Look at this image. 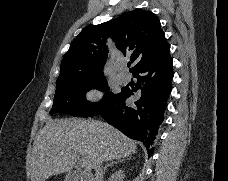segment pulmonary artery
Segmentation results:
<instances>
[{"label":"pulmonary artery","mask_w":228,"mask_h":181,"mask_svg":"<svg viewBox=\"0 0 228 181\" xmlns=\"http://www.w3.org/2000/svg\"><path fill=\"white\" fill-rule=\"evenodd\" d=\"M127 79H128L127 77H121L122 81H127Z\"/></svg>","instance_id":"obj_1"}]
</instances>
